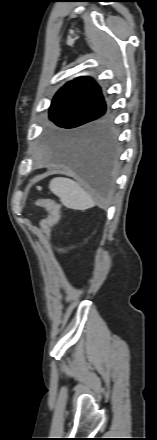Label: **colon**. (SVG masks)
I'll return each mask as SVG.
<instances>
[{
    "label": "colon",
    "instance_id": "colon-1",
    "mask_svg": "<svg viewBox=\"0 0 157 440\" xmlns=\"http://www.w3.org/2000/svg\"><path fill=\"white\" fill-rule=\"evenodd\" d=\"M36 204L47 211V217L41 222V228L46 236H49L50 229L55 226L60 219V206L49 198H40Z\"/></svg>",
    "mask_w": 157,
    "mask_h": 440
}]
</instances>
